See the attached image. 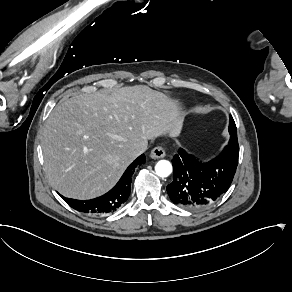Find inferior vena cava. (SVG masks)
<instances>
[{
	"instance_id": "1",
	"label": "inferior vena cava",
	"mask_w": 292,
	"mask_h": 292,
	"mask_svg": "<svg viewBox=\"0 0 292 292\" xmlns=\"http://www.w3.org/2000/svg\"><path fill=\"white\" fill-rule=\"evenodd\" d=\"M146 150H147V144L135 148L134 152H135L136 156H139L140 154L144 153Z\"/></svg>"
}]
</instances>
